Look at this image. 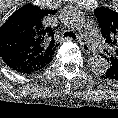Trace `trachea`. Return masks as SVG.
Segmentation results:
<instances>
[{"mask_svg": "<svg viewBox=\"0 0 118 118\" xmlns=\"http://www.w3.org/2000/svg\"><path fill=\"white\" fill-rule=\"evenodd\" d=\"M63 35H64V37H71L73 39L77 38L73 32H69V31L65 32Z\"/></svg>", "mask_w": 118, "mask_h": 118, "instance_id": "3493384b", "label": "trachea"}]
</instances>
